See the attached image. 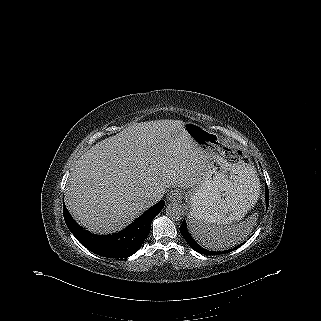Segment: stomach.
Instances as JSON below:
<instances>
[{
  "mask_svg": "<svg viewBox=\"0 0 321 321\" xmlns=\"http://www.w3.org/2000/svg\"><path fill=\"white\" fill-rule=\"evenodd\" d=\"M184 131L205 153L203 179L186 195L189 222L232 224L240 221L255 205L260 182L248 156L228 146L215 132L192 122Z\"/></svg>",
  "mask_w": 321,
  "mask_h": 321,
  "instance_id": "1",
  "label": "stomach"
}]
</instances>
